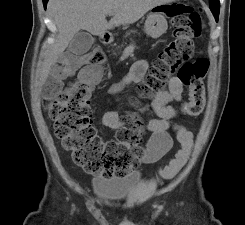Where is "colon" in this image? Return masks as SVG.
Segmentation results:
<instances>
[{
    "instance_id": "obj_1",
    "label": "colon",
    "mask_w": 245,
    "mask_h": 225,
    "mask_svg": "<svg viewBox=\"0 0 245 225\" xmlns=\"http://www.w3.org/2000/svg\"><path fill=\"white\" fill-rule=\"evenodd\" d=\"M170 11L173 14L174 39L155 59L147 76L136 88L140 96L150 97L163 91L169 76L178 70L179 79L190 89L189 98L183 104V112L196 116L205 106L203 79L209 66L203 59L191 60L194 39L201 36L200 15L193 5H175ZM84 56L92 65H100L105 59V54L100 50H91ZM82 57H68L48 81V91L55 94V102L49 111L55 135L64 148L70 151L73 161L86 172L106 178L124 176L136 164L135 157L144 152L146 129L139 115L134 114L123 121L116 141L108 142L105 147L101 145L92 125V91L88 83L91 75L84 72L64 86V82L75 75ZM181 138V148L162 168V175L166 178L176 177L190 155L192 137L182 134Z\"/></svg>"
}]
</instances>
